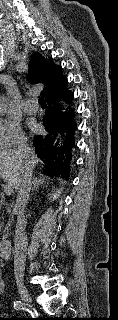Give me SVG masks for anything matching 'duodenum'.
I'll return each mask as SVG.
<instances>
[{
	"label": "duodenum",
	"mask_w": 118,
	"mask_h": 320,
	"mask_svg": "<svg viewBox=\"0 0 118 320\" xmlns=\"http://www.w3.org/2000/svg\"><path fill=\"white\" fill-rule=\"evenodd\" d=\"M11 244L12 242L10 239L0 241V258L5 259L9 257Z\"/></svg>",
	"instance_id": "1"
}]
</instances>
